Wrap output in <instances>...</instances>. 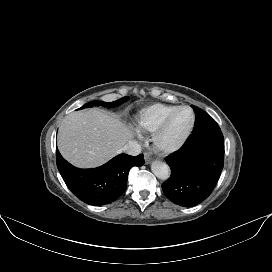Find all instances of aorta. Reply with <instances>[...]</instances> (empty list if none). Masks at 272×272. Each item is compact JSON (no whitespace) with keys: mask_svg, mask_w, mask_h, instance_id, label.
<instances>
[{"mask_svg":"<svg viewBox=\"0 0 272 272\" xmlns=\"http://www.w3.org/2000/svg\"><path fill=\"white\" fill-rule=\"evenodd\" d=\"M151 170L154 175L161 180H165L170 176L169 166L162 161H154L151 164Z\"/></svg>","mask_w":272,"mask_h":272,"instance_id":"762f6f07","label":"aorta"}]
</instances>
